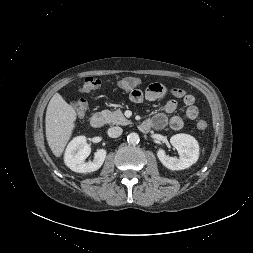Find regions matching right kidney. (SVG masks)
Here are the masks:
<instances>
[{
  "label": "right kidney",
  "instance_id": "1",
  "mask_svg": "<svg viewBox=\"0 0 253 253\" xmlns=\"http://www.w3.org/2000/svg\"><path fill=\"white\" fill-rule=\"evenodd\" d=\"M91 153V148L87 143L85 136L75 137L67 146L64 162L74 172L89 173L98 170L106 158V150L100 149L95 153L92 162H85Z\"/></svg>",
  "mask_w": 253,
  "mask_h": 253
}]
</instances>
